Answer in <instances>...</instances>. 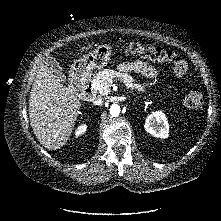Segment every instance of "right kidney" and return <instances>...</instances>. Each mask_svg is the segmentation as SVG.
Here are the masks:
<instances>
[{"instance_id": "1", "label": "right kidney", "mask_w": 221, "mask_h": 221, "mask_svg": "<svg viewBox=\"0 0 221 221\" xmlns=\"http://www.w3.org/2000/svg\"><path fill=\"white\" fill-rule=\"evenodd\" d=\"M86 125H81L77 128L75 135L78 137L79 135L83 134L86 131Z\"/></svg>"}]
</instances>
